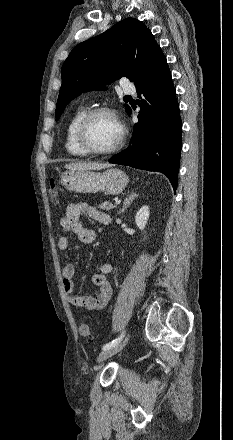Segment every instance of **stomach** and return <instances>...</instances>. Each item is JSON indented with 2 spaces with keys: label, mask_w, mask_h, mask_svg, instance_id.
Returning a JSON list of instances; mask_svg holds the SVG:
<instances>
[{
  "label": "stomach",
  "mask_w": 233,
  "mask_h": 440,
  "mask_svg": "<svg viewBox=\"0 0 233 440\" xmlns=\"http://www.w3.org/2000/svg\"><path fill=\"white\" fill-rule=\"evenodd\" d=\"M62 186L78 193H98L107 195L120 194L129 182L128 176L117 168L104 172L91 170H69L61 175Z\"/></svg>",
  "instance_id": "1"
}]
</instances>
